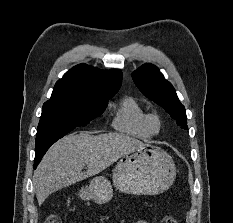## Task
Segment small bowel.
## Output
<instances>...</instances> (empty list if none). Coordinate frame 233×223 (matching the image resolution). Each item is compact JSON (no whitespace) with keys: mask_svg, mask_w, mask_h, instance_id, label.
<instances>
[{"mask_svg":"<svg viewBox=\"0 0 233 223\" xmlns=\"http://www.w3.org/2000/svg\"><path fill=\"white\" fill-rule=\"evenodd\" d=\"M120 223H126L125 219H121ZM137 223H147L145 220H138Z\"/></svg>","mask_w":233,"mask_h":223,"instance_id":"small-bowel-1","label":"small bowel"}]
</instances>
